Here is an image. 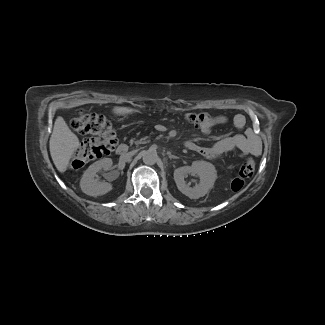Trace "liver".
Here are the masks:
<instances>
[{
  "label": "liver",
  "instance_id": "obj_1",
  "mask_svg": "<svg viewBox=\"0 0 325 325\" xmlns=\"http://www.w3.org/2000/svg\"><path fill=\"white\" fill-rule=\"evenodd\" d=\"M112 111L119 116L139 112L129 107H114ZM49 143L50 154L57 170L61 173L65 172L80 144L78 137L62 117L56 119Z\"/></svg>",
  "mask_w": 325,
  "mask_h": 325
}]
</instances>
